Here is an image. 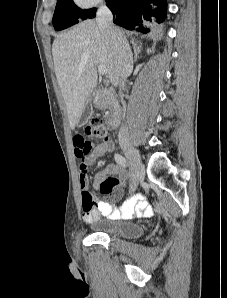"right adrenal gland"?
I'll return each mask as SVG.
<instances>
[{
	"label": "right adrenal gland",
	"instance_id": "right-adrenal-gland-1",
	"mask_svg": "<svg viewBox=\"0 0 227 298\" xmlns=\"http://www.w3.org/2000/svg\"><path fill=\"white\" fill-rule=\"evenodd\" d=\"M132 45L134 48V62L138 59V54L141 52L142 44L138 45L137 41L132 40Z\"/></svg>",
	"mask_w": 227,
	"mask_h": 298
}]
</instances>
